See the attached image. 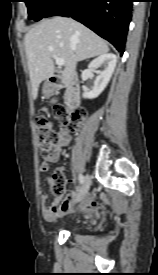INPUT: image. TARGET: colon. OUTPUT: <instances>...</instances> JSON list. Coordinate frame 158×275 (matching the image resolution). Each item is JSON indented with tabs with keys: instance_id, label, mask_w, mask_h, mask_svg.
Returning a JSON list of instances; mask_svg holds the SVG:
<instances>
[{
	"instance_id": "5ec220e1",
	"label": "colon",
	"mask_w": 158,
	"mask_h": 275,
	"mask_svg": "<svg viewBox=\"0 0 158 275\" xmlns=\"http://www.w3.org/2000/svg\"><path fill=\"white\" fill-rule=\"evenodd\" d=\"M54 117L63 125L71 130H77L80 123L84 120L86 113L79 110L69 114L64 106H55L53 109ZM36 139L38 149L41 153L49 152L58 139V133L54 129L52 120L45 116L39 115L35 119ZM52 192L55 197L60 198L65 192L66 176L60 170H57L50 177Z\"/></svg>"
}]
</instances>
